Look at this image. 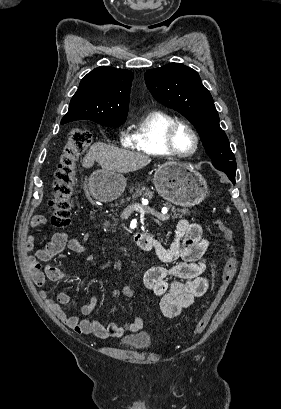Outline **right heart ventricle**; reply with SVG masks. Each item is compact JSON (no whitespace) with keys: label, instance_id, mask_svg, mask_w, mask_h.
<instances>
[{"label":"right heart ventricle","instance_id":"obj_1","mask_svg":"<svg viewBox=\"0 0 281 409\" xmlns=\"http://www.w3.org/2000/svg\"><path fill=\"white\" fill-rule=\"evenodd\" d=\"M177 120L178 117L164 110L147 112L134 124L125 141L126 147L144 157H172L166 147V134L169 126Z\"/></svg>","mask_w":281,"mask_h":409}]
</instances>
